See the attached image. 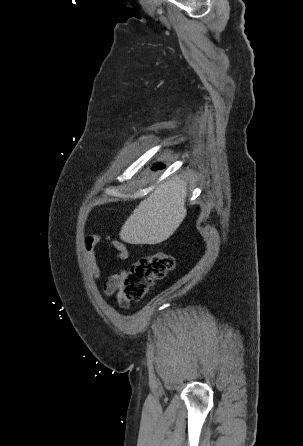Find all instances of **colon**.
<instances>
[{"mask_svg": "<svg viewBox=\"0 0 303 446\" xmlns=\"http://www.w3.org/2000/svg\"><path fill=\"white\" fill-rule=\"evenodd\" d=\"M174 264L173 257L164 252L143 256L132 263L124 281L125 301L137 302L142 299L150 286L163 279L173 269Z\"/></svg>", "mask_w": 303, "mask_h": 446, "instance_id": "5ec220e1", "label": "colon"}]
</instances>
